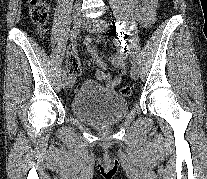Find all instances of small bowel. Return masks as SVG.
<instances>
[{"instance_id": "c3829d8e", "label": "small bowel", "mask_w": 207, "mask_h": 179, "mask_svg": "<svg viewBox=\"0 0 207 179\" xmlns=\"http://www.w3.org/2000/svg\"><path fill=\"white\" fill-rule=\"evenodd\" d=\"M128 4L133 13L135 14L136 20L141 26L149 27L153 24L158 0H128ZM85 44L90 57L92 58L95 65L98 67V70L96 72L98 80L102 81L104 83V86L108 90H113L118 85H120L123 76L127 72L126 49L124 48V46L119 43L113 44V48H115L118 52L113 54L109 59L111 65L116 70V74L114 76H111L104 71L106 67L105 62L98 54L96 48L91 45L90 39H86ZM70 53H74L73 48L70 50ZM75 63L79 66V61L77 57H75ZM75 80L76 76L71 75L70 83L74 84Z\"/></svg>"}]
</instances>
